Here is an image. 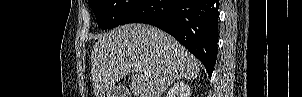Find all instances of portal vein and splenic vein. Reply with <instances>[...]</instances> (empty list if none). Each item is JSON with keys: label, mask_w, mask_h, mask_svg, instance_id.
<instances>
[{"label": "portal vein and splenic vein", "mask_w": 302, "mask_h": 97, "mask_svg": "<svg viewBox=\"0 0 302 97\" xmlns=\"http://www.w3.org/2000/svg\"><path fill=\"white\" fill-rule=\"evenodd\" d=\"M136 71H143V72H145V73H148V72H149L147 69L141 68V67H137V68H136Z\"/></svg>", "instance_id": "1"}]
</instances>
